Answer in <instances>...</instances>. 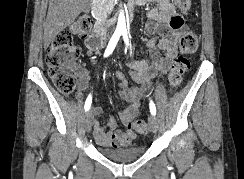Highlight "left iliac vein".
<instances>
[{"instance_id":"4c4485c4","label":"left iliac vein","mask_w":244,"mask_h":179,"mask_svg":"<svg viewBox=\"0 0 244 179\" xmlns=\"http://www.w3.org/2000/svg\"><path fill=\"white\" fill-rule=\"evenodd\" d=\"M148 123H149L150 130L153 133H157L158 127H159V121H158V119L156 118L155 115H150L149 116Z\"/></svg>"}]
</instances>
